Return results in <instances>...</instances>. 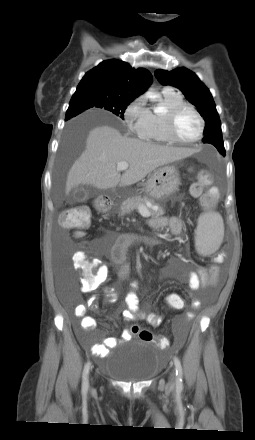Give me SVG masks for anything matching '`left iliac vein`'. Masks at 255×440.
<instances>
[{
  "label": "left iliac vein",
  "instance_id": "4c4485c4",
  "mask_svg": "<svg viewBox=\"0 0 255 440\" xmlns=\"http://www.w3.org/2000/svg\"><path fill=\"white\" fill-rule=\"evenodd\" d=\"M174 387H175V373L172 372V373H171V376H170L169 383H168V388H169L170 390H172V389H174Z\"/></svg>",
  "mask_w": 255,
  "mask_h": 440
}]
</instances>
